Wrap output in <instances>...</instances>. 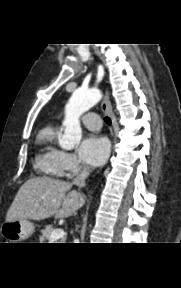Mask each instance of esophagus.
Returning <instances> with one entry per match:
<instances>
[{
  "label": "esophagus",
  "instance_id": "esophagus-1",
  "mask_svg": "<svg viewBox=\"0 0 181 288\" xmlns=\"http://www.w3.org/2000/svg\"><path fill=\"white\" fill-rule=\"evenodd\" d=\"M101 108H102V111L105 112L111 118L112 125H114L115 124V116H114V113L112 110V105H111L109 93L107 90L105 91V96H104V99L102 101Z\"/></svg>",
  "mask_w": 181,
  "mask_h": 288
}]
</instances>
